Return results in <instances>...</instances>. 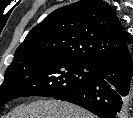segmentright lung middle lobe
I'll list each match as a JSON object with an SVG mask.
<instances>
[{
    "mask_svg": "<svg viewBox=\"0 0 133 118\" xmlns=\"http://www.w3.org/2000/svg\"><path fill=\"white\" fill-rule=\"evenodd\" d=\"M96 68L61 58L8 69L0 86V107L22 96L56 97L93 79Z\"/></svg>",
    "mask_w": 133,
    "mask_h": 118,
    "instance_id": "1",
    "label": "right lung middle lobe"
}]
</instances>
